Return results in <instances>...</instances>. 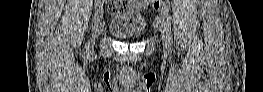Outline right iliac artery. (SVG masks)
<instances>
[{"label":"right iliac artery","mask_w":263,"mask_h":92,"mask_svg":"<svg viewBox=\"0 0 263 92\" xmlns=\"http://www.w3.org/2000/svg\"><path fill=\"white\" fill-rule=\"evenodd\" d=\"M102 4H103V0H95L93 10H99L100 5H102ZM88 47H89V44L86 45V48H88Z\"/></svg>","instance_id":"1"}]
</instances>
